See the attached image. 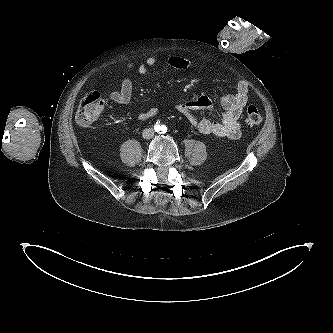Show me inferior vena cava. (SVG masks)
<instances>
[{"label":"inferior vena cava","instance_id":"obj_1","mask_svg":"<svg viewBox=\"0 0 333 333\" xmlns=\"http://www.w3.org/2000/svg\"><path fill=\"white\" fill-rule=\"evenodd\" d=\"M142 136L144 139H150L154 136V130L152 128H146L143 130Z\"/></svg>","mask_w":333,"mask_h":333}]
</instances>
